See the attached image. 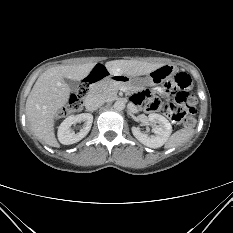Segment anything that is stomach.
Wrapping results in <instances>:
<instances>
[{
	"instance_id": "stomach-1",
	"label": "stomach",
	"mask_w": 233,
	"mask_h": 233,
	"mask_svg": "<svg viewBox=\"0 0 233 233\" xmlns=\"http://www.w3.org/2000/svg\"><path fill=\"white\" fill-rule=\"evenodd\" d=\"M176 72V68L173 65H162L156 70L147 74L145 78H137L127 75H116L115 81L127 85L132 90H137L145 85H154L158 82H163L170 79Z\"/></svg>"
}]
</instances>
